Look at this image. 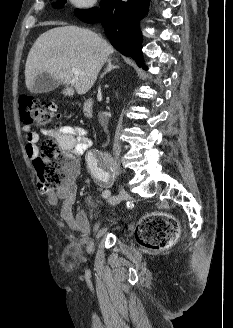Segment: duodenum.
<instances>
[{"mask_svg": "<svg viewBox=\"0 0 233 328\" xmlns=\"http://www.w3.org/2000/svg\"><path fill=\"white\" fill-rule=\"evenodd\" d=\"M83 112L85 116L92 117L93 115V100L87 99L84 103Z\"/></svg>", "mask_w": 233, "mask_h": 328, "instance_id": "duodenum-1", "label": "duodenum"}]
</instances>
